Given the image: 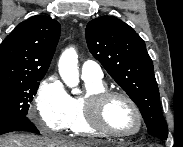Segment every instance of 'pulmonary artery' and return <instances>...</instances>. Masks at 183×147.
Segmentation results:
<instances>
[{"mask_svg": "<svg viewBox=\"0 0 183 147\" xmlns=\"http://www.w3.org/2000/svg\"><path fill=\"white\" fill-rule=\"evenodd\" d=\"M83 80L100 82L103 78V71L100 65L95 61H86L81 68Z\"/></svg>", "mask_w": 183, "mask_h": 147, "instance_id": "1", "label": "pulmonary artery"}]
</instances>
